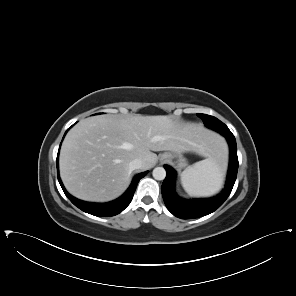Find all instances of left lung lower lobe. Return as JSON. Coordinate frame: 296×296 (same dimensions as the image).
I'll list each match as a JSON object with an SVG mask.
<instances>
[{
	"mask_svg": "<svg viewBox=\"0 0 296 296\" xmlns=\"http://www.w3.org/2000/svg\"><path fill=\"white\" fill-rule=\"evenodd\" d=\"M221 134L226 137L230 147V163L226 187L219 195L209 199L193 200L178 197L175 193L176 172L170 166H164L167 175L161 188L162 196L167 209L173 215L182 219L198 218L208 215L219 208L230 195L238 171L237 146L235 137L231 132L222 131Z\"/></svg>",
	"mask_w": 296,
	"mask_h": 296,
	"instance_id": "1",
	"label": "left lung lower lobe"
}]
</instances>
